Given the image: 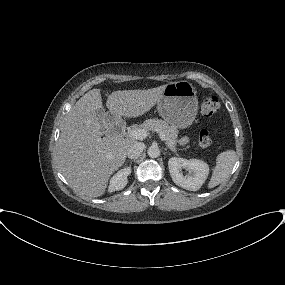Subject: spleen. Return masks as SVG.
<instances>
[{
	"instance_id": "1",
	"label": "spleen",
	"mask_w": 285,
	"mask_h": 285,
	"mask_svg": "<svg viewBox=\"0 0 285 285\" xmlns=\"http://www.w3.org/2000/svg\"><path fill=\"white\" fill-rule=\"evenodd\" d=\"M236 157L234 150L224 151L217 156L216 166L208 184L209 188L218 186L229 176L236 162Z\"/></svg>"
}]
</instances>
